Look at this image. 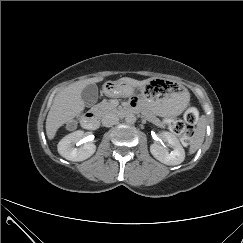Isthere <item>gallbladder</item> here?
Here are the masks:
<instances>
[{
  "label": "gallbladder",
  "mask_w": 243,
  "mask_h": 243,
  "mask_svg": "<svg viewBox=\"0 0 243 243\" xmlns=\"http://www.w3.org/2000/svg\"><path fill=\"white\" fill-rule=\"evenodd\" d=\"M81 98L87 107L93 106L98 99V87L96 84L87 85L82 93Z\"/></svg>",
  "instance_id": "bac80fb5"
}]
</instances>
